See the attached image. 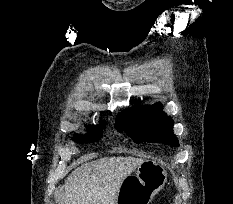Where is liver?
Masks as SVG:
<instances>
[{
  "label": "liver",
  "mask_w": 233,
  "mask_h": 204,
  "mask_svg": "<svg viewBox=\"0 0 233 204\" xmlns=\"http://www.w3.org/2000/svg\"><path fill=\"white\" fill-rule=\"evenodd\" d=\"M143 161L110 157L82 164L67 177L60 204H116L123 180Z\"/></svg>",
  "instance_id": "6515ba94"
}]
</instances>
